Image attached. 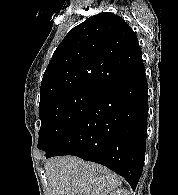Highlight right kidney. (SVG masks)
<instances>
[{
    "label": "right kidney",
    "mask_w": 178,
    "mask_h": 195,
    "mask_svg": "<svg viewBox=\"0 0 178 195\" xmlns=\"http://www.w3.org/2000/svg\"><path fill=\"white\" fill-rule=\"evenodd\" d=\"M109 195H130V193L128 190L120 188L112 191Z\"/></svg>",
    "instance_id": "right-kidney-1"
}]
</instances>
